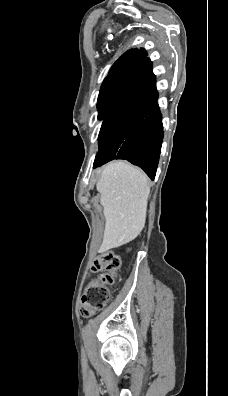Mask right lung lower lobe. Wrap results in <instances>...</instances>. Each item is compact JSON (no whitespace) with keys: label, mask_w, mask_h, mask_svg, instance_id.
Returning <instances> with one entry per match:
<instances>
[{"label":"right lung lower lobe","mask_w":228,"mask_h":396,"mask_svg":"<svg viewBox=\"0 0 228 396\" xmlns=\"http://www.w3.org/2000/svg\"><path fill=\"white\" fill-rule=\"evenodd\" d=\"M146 78L129 107L115 122L94 161V168L114 159H124L142 168L154 180L163 126L157 104L152 65L146 60Z\"/></svg>","instance_id":"obj_1"}]
</instances>
